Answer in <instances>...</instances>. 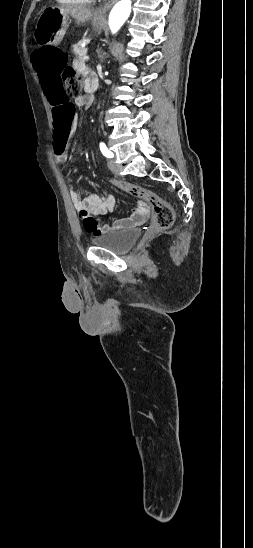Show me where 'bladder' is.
<instances>
[{
	"label": "bladder",
	"mask_w": 253,
	"mask_h": 548,
	"mask_svg": "<svg viewBox=\"0 0 253 548\" xmlns=\"http://www.w3.org/2000/svg\"><path fill=\"white\" fill-rule=\"evenodd\" d=\"M141 235V230L131 228L120 231H110L91 238V244L107 248L115 253H126Z\"/></svg>",
	"instance_id": "obj_1"
}]
</instances>
